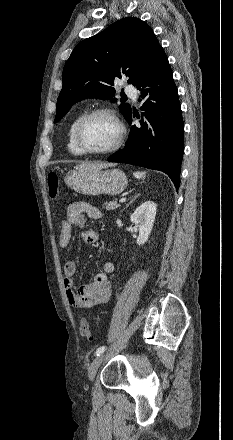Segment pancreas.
Returning <instances> with one entry per match:
<instances>
[{
    "label": "pancreas",
    "mask_w": 233,
    "mask_h": 440,
    "mask_svg": "<svg viewBox=\"0 0 233 440\" xmlns=\"http://www.w3.org/2000/svg\"><path fill=\"white\" fill-rule=\"evenodd\" d=\"M120 206L117 201H110L103 204V208L107 211L115 210Z\"/></svg>",
    "instance_id": "cf45deb5"
}]
</instances>
